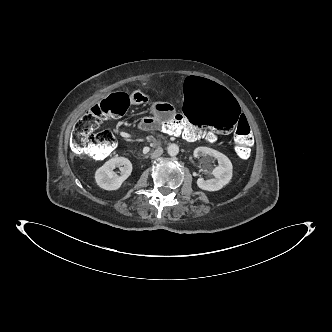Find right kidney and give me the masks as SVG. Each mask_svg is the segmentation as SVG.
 Masks as SVG:
<instances>
[{
	"instance_id": "ca27d5eb",
	"label": "right kidney",
	"mask_w": 332,
	"mask_h": 332,
	"mask_svg": "<svg viewBox=\"0 0 332 332\" xmlns=\"http://www.w3.org/2000/svg\"><path fill=\"white\" fill-rule=\"evenodd\" d=\"M118 167L121 171L120 176L113 170ZM132 163L125 157H115L109 159L95 172L97 185L108 191L118 190L122 183L131 175Z\"/></svg>"
}]
</instances>
